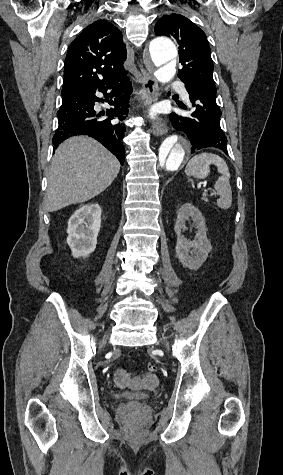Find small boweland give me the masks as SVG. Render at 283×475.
Wrapping results in <instances>:
<instances>
[{"label":"small bowel","instance_id":"c3829d8e","mask_svg":"<svg viewBox=\"0 0 283 475\" xmlns=\"http://www.w3.org/2000/svg\"><path fill=\"white\" fill-rule=\"evenodd\" d=\"M114 382L120 388H127L130 385V375L124 369H117L114 373ZM145 387L152 388L157 384V376L154 374H146L142 378Z\"/></svg>","mask_w":283,"mask_h":475}]
</instances>
